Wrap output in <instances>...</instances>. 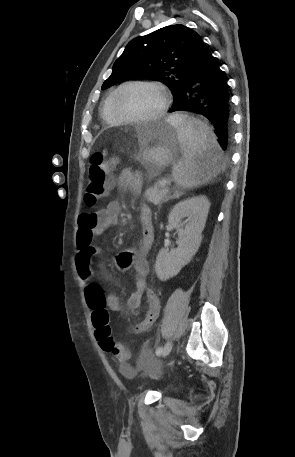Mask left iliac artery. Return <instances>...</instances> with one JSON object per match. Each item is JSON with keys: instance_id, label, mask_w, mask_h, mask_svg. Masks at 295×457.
I'll list each match as a JSON object with an SVG mask.
<instances>
[{"instance_id": "44dca946", "label": "left iliac artery", "mask_w": 295, "mask_h": 457, "mask_svg": "<svg viewBox=\"0 0 295 457\" xmlns=\"http://www.w3.org/2000/svg\"><path fill=\"white\" fill-rule=\"evenodd\" d=\"M162 351H163V347H158V348L156 349V354H157V355H160V354L162 353Z\"/></svg>"}]
</instances>
